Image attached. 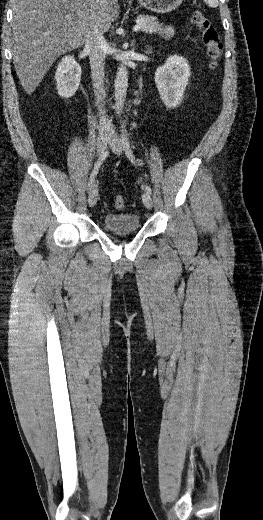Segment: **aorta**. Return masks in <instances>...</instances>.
Instances as JSON below:
<instances>
[{
    "label": "aorta",
    "instance_id": "obj_1",
    "mask_svg": "<svg viewBox=\"0 0 263 520\" xmlns=\"http://www.w3.org/2000/svg\"><path fill=\"white\" fill-rule=\"evenodd\" d=\"M128 87V71L127 68L121 64L116 73L114 83L115 107L118 112H121L124 106Z\"/></svg>",
    "mask_w": 263,
    "mask_h": 520
}]
</instances>
